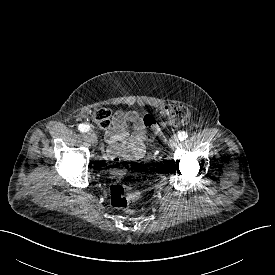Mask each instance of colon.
<instances>
[{"instance_id": "5ec220e1", "label": "colon", "mask_w": 275, "mask_h": 275, "mask_svg": "<svg viewBox=\"0 0 275 275\" xmlns=\"http://www.w3.org/2000/svg\"><path fill=\"white\" fill-rule=\"evenodd\" d=\"M163 114L168 121L175 126H182L190 121L191 113L187 106L182 103L169 104L164 108ZM111 112L109 109L100 107L96 108L92 113L93 120L101 127L108 128L110 125ZM147 128L146 141L149 146L152 145L155 137L158 135L160 128L152 117L146 118ZM144 165L153 172L162 169V161L154 152L150 151L143 160ZM112 172L115 176L110 184V202L115 208L129 211L130 204L138 201L142 194L139 190L134 189L127 181L122 179L125 173V166L114 162L111 165Z\"/></svg>"}]
</instances>
